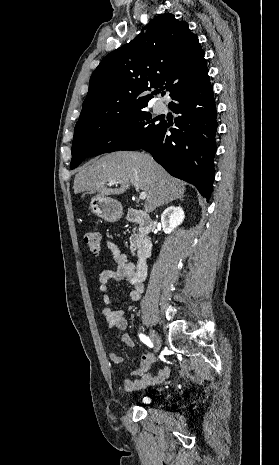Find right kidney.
<instances>
[{
    "instance_id": "obj_1",
    "label": "right kidney",
    "mask_w": 279,
    "mask_h": 465,
    "mask_svg": "<svg viewBox=\"0 0 279 465\" xmlns=\"http://www.w3.org/2000/svg\"><path fill=\"white\" fill-rule=\"evenodd\" d=\"M185 218L180 206H170L161 214L162 228L165 234H170L176 227L182 224Z\"/></svg>"
}]
</instances>
